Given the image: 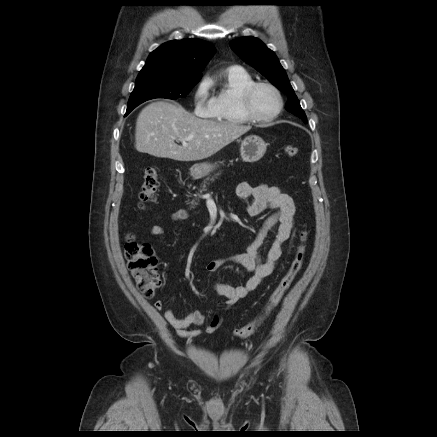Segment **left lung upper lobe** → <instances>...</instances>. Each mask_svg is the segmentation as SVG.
Wrapping results in <instances>:
<instances>
[{"mask_svg":"<svg viewBox=\"0 0 437 437\" xmlns=\"http://www.w3.org/2000/svg\"><path fill=\"white\" fill-rule=\"evenodd\" d=\"M233 51L245 62L258 70L273 85L288 96L285 109L307 122L306 115L289 82L284 68L274 52L255 37H241L230 42Z\"/></svg>","mask_w":437,"mask_h":437,"instance_id":"1","label":"left lung upper lobe"}]
</instances>
